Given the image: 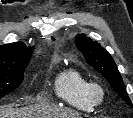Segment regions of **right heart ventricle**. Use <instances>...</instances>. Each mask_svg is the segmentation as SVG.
Listing matches in <instances>:
<instances>
[{
    "label": "right heart ventricle",
    "mask_w": 133,
    "mask_h": 118,
    "mask_svg": "<svg viewBox=\"0 0 133 118\" xmlns=\"http://www.w3.org/2000/svg\"><path fill=\"white\" fill-rule=\"evenodd\" d=\"M88 78L74 68L60 72L54 81L57 97L70 107L84 113H91L95 106L89 97Z\"/></svg>",
    "instance_id": "1"
}]
</instances>
